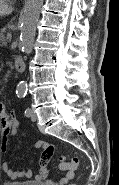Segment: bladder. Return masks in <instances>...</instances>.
Listing matches in <instances>:
<instances>
[{
  "instance_id": "obj_1",
  "label": "bladder",
  "mask_w": 119,
  "mask_h": 185,
  "mask_svg": "<svg viewBox=\"0 0 119 185\" xmlns=\"http://www.w3.org/2000/svg\"><path fill=\"white\" fill-rule=\"evenodd\" d=\"M4 185H44V184L36 181H14V182H7Z\"/></svg>"
}]
</instances>
